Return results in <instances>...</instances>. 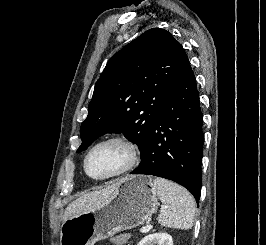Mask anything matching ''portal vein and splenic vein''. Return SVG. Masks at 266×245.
Returning a JSON list of instances; mask_svg holds the SVG:
<instances>
[{
    "instance_id": "obj_1",
    "label": "portal vein and splenic vein",
    "mask_w": 266,
    "mask_h": 245,
    "mask_svg": "<svg viewBox=\"0 0 266 245\" xmlns=\"http://www.w3.org/2000/svg\"><path fill=\"white\" fill-rule=\"evenodd\" d=\"M162 211L163 209H167V207H161ZM150 229H153L152 225H147L145 229H141L140 233H146V231H150Z\"/></svg>"
}]
</instances>
